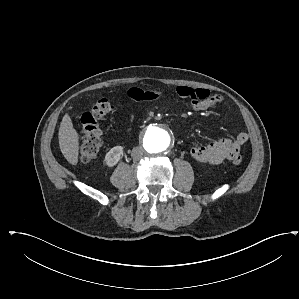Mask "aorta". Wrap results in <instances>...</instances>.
<instances>
[{"instance_id": "1", "label": "aorta", "mask_w": 299, "mask_h": 299, "mask_svg": "<svg viewBox=\"0 0 299 299\" xmlns=\"http://www.w3.org/2000/svg\"><path fill=\"white\" fill-rule=\"evenodd\" d=\"M171 138L167 130L159 126L149 127L143 137V147L149 155L164 153L170 146Z\"/></svg>"}]
</instances>
